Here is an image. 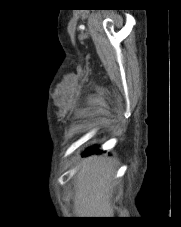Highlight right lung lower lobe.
Listing matches in <instances>:
<instances>
[{
  "label": "right lung lower lobe",
  "instance_id": "1",
  "mask_svg": "<svg viewBox=\"0 0 181 227\" xmlns=\"http://www.w3.org/2000/svg\"><path fill=\"white\" fill-rule=\"evenodd\" d=\"M96 151H98V147L94 146V147L90 148L89 150L85 151V155L90 154V153H94Z\"/></svg>",
  "mask_w": 181,
  "mask_h": 227
}]
</instances>
